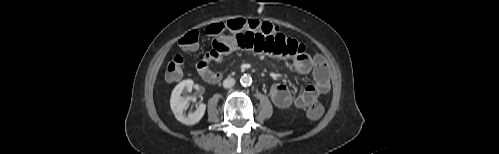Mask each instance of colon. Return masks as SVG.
<instances>
[{
    "instance_id": "5ec220e1",
    "label": "colon",
    "mask_w": 499,
    "mask_h": 154,
    "mask_svg": "<svg viewBox=\"0 0 499 154\" xmlns=\"http://www.w3.org/2000/svg\"><path fill=\"white\" fill-rule=\"evenodd\" d=\"M253 30L259 31L266 35H274L279 33L278 28L270 22L259 21L254 19H232L227 22H219L209 25L206 28V33L210 36H217L226 31H244ZM199 34L197 31H189L185 33L179 40V45L183 49H195L198 45ZM184 58L177 54L171 58L166 67V78L170 81H176L181 78L183 73ZM324 112L322 104L314 101L307 110V115L310 119H319Z\"/></svg>"
}]
</instances>
